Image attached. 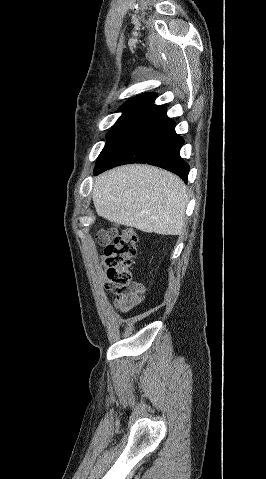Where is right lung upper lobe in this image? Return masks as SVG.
Segmentation results:
<instances>
[{"label": "right lung upper lobe", "instance_id": "obj_1", "mask_svg": "<svg viewBox=\"0 0 266 479\" xmlns=\"http://www.w3.org/2000/svg\"><path fill=\"white\" fill-rule=\"evenodd\" d=\"M156 97L157 95L155 93L141 94L124 103L120 107V111L124 113L138 114L139 112L152 105Z\"/></svg>", "mask_w": 266, "mask_h": 479}]
</instances>
